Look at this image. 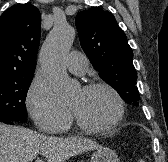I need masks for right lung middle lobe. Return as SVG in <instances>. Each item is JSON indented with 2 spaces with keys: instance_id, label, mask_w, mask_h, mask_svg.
Here are the masks:
<instances>
[{
  "instance_id": "dd1d6c3e",
  "label": "right lung middle lobe",
  "mask_w": 168,
  "mask_h": 162,
  "mask_svg": "<svg viewBox=\"0 0 168 162\" xmlns=\"http://www.w3.org/2000/svg\"><path fill=\"white\" fill-rule=\"evenodd\" d=\"M34 72L22 73L11 78L0 79V119L25 121V99Z\"/></svg>"
}]
</instances>
